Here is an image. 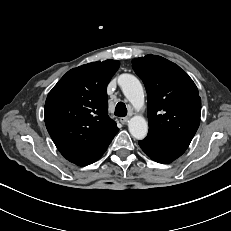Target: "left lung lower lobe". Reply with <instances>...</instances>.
Segmentation results:
<instances>
[{
    "label": "left lung lower lobe",
    "instance_id": "0a47b994",
    "mask_svg": "<svg viewBox=\"0 0 231 231\" xmlns=\"http://www.w3.org/2000/svg\"><path fill=\"white\" fill-rule=\"evenodd\" d=\"M142 150L154 161L167 164L180 157L185 150L166 143L152 135L138 142Z\"/></svg>",
    "mask_w": 231,
    "mask_h": 231
}]
</instances>
